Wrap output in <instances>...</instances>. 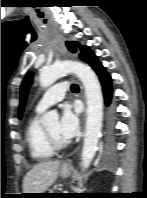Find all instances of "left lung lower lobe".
<instances>
[{
	"mask_svg": "<svg viewBox=\"0 0 147 198\" xmlns=\"http://www.w3.org/2000/svg\"><path fill=\"white\" fill-rule=\"evenodd\" d=\"M83 61L88 63L95 70L97 75L99 76V79L102 83L103 94H104V97H105V103L108 106L110 104L111 95H112V82H111L110 75H108L105 68L97 60V57L95 56V54L89 48L85 53ZM111 116H113V113H112ZM111 131H113V129H111Z\"/></svg>",
	"mask_w": 147,
	"mask_h": 198,
	"instance_id": "obj_1",
	"label": "left lung lower lobe"
}]
</instances>
